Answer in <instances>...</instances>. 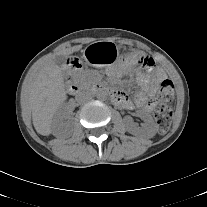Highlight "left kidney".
<instances>
[{
  "instance_id": "1",
  "label": "left kidney",
  "mask_w": 207,
  "mask_h": 207,
  "mask_svg": "<svg viewBox=\"0 0 207 207\" xmlns=\"http://www.w3.org/2000/svg\"><path fill=\"white\" fill-rule=\"evenodd\" d=\"M138 116L143 119L144 125L141 128H138L129 118H126L125 122L128 132L133 135H141L145 138H152L157 132V126L152 116L142 110L138 111Z\"/></svg>"
}]
</instances>
